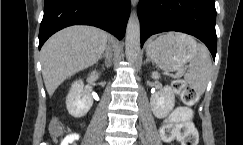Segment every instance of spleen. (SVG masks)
Wrapping results in <instances>:
<instances>
[{
	"label": "spleen",
	"mask_w": 243,
	"mask_h": 145,
	"mask_svg": "<svg viewBox=\"0 0 243 145\" xmlns=\"http://www.w3.org/2000/svg\"><path fill=\"white\" fill-rule=\"evenodd\" d=\"M196 48L197 53L190 60V70L184 75V79L195 90L197 95H202L211 75L212 62L205 46L196 43Z\"/></svg>",
	"instance_id": "3e777b00"
}]
</instances>
